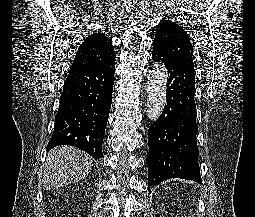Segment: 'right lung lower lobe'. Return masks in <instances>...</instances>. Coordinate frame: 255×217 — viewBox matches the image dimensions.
<instances>
[{
	"label": "right lung lower lobe",
	"mask_w": 255,
	"mask_h": 217,
	"mask_svg": "<svg viewBox=\"0 0 255 217\" xmlns=\"http://www.w3.org/2000/svg\"><path fill=\"white\" fill-rule=\"evenodd\" d=\"M114 73L115 61L70 69L47 150L71 145L94 158H103L101 147L111 108Z\"/></svg>",
	"instance_id": "obj_1"
}]
</instances>
